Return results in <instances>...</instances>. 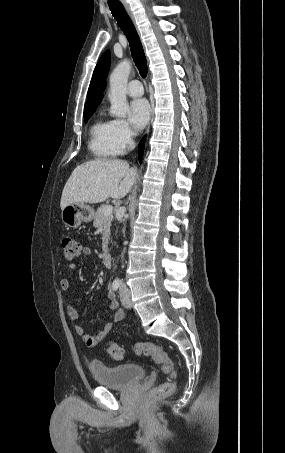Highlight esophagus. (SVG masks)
<instances>
[{
  "instance_id": "1",
  "label": "esophagus",
  "mask_w": 285,
  "mask_h": 453,
  "mask_svg": "<svg viewBox=\"0 0 285 453\" xmlns=\"http://www.w3.org/2000/svg\"><path fill=\"white\" fill-rule=\"evenodd\" d=\"M121 1H122L123 5H124V7H125V9H126V11H127V13H128V15H129L130 18L134 21L133 14H132V12H131V10H130V7H129L128 3L126 2V0H121ZM152 106H153V105H152ZM151 113H152V107H151ZM151 122H152V118H151V121H150V123H149V125H148V128H147L146 133H148L149 130H150V124H151Z\"/></svg>"
}]
</instances>
